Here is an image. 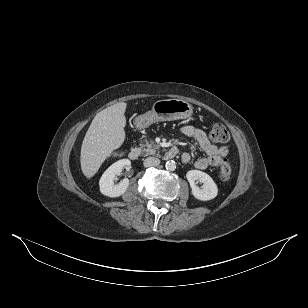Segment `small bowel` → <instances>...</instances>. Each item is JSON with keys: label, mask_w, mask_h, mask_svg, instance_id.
<instances>
[{"label": "small bowel", "mask_w": 308, "mask_h": 308, "mask_svg": "<svg viewBox=\"0 0 308 308\" xmlns=\"http://www.w3.org/2000/svg\"><path fill=\"white\" fill-rule=\"evenodd\" d=\"M181 132L184 136L194 139L206 154V156L200 157L194 162V166L197 169L205 170L208 167H215L219 165L228 154L226 147H219L211 143L207 134L202 129L192 125H185L181 128ZM191 158L189 153H184L182 155V162L189 163Z\"/></svg>", "instance_id": "c3829d8e"}]
</instances>
